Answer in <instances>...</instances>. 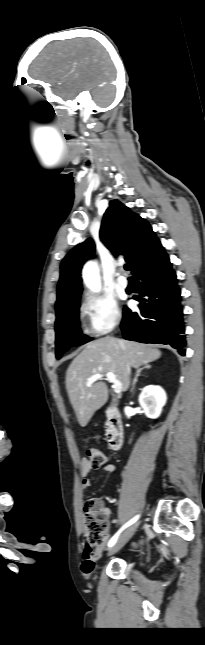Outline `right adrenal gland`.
<instances>
[{"instance_id": "2a0ac1e0", "label": "right adrenal gland", "mask_w": 205, "mask_h": 645, "mask_svg": "<svg viewBox=\"0 0 205 645\" xmlns=\"http://www.w3.org/2000/svg\"><path fill=\"white\" fill-rule=\"evenodd\" d=\"M150 368H151V366H150V365L145 364V366H144L143 368H140V369H138V370H137L136 375H135V378H134V380H133V384H132L131 392H133V391H134L135 386H136V383L138 382V377L141 375L142 370H144V369H150Z\"/></svg>"}]
</instances>
